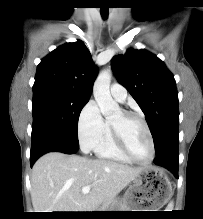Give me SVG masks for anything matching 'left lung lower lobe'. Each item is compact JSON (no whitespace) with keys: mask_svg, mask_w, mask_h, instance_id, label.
Listing matches in <instances>:
<instances>
[{"mask_svg":"<svg viewBox=\"0 0 203 219\" xmlns=\"http://www.w3.org/2000/svg\"><path fill=\"white\" fill-rule=\"evenodd\" d=\"M178 145L179 140L172 141L156 155L154 163L171 171L178 178Z\"/></svg>","mask_w":203,"mask_h":219,"instance_id":"0a47b994","label":"left lung lower lobe"}]
</instances>
